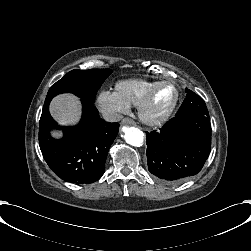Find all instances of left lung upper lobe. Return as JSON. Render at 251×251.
<instances>
[{
  "mask_svg": "<svg viewBox=\"0 0 251 251\" xmlns=\"http://www.w3.org/2000/svg\"><path fill=\"white\" fill-rule=\"evenodd\" d=\"M186 98L175 116L185 114H202L209 116L204 100L191 90L186 89Z\"/></svg>",
  "mask_w": 251,
  "mask_h": 251,
  "instance_id": "left-lung-upper-lobe-1",
  "label": "left lung upper lobe"
}]
</instances>
